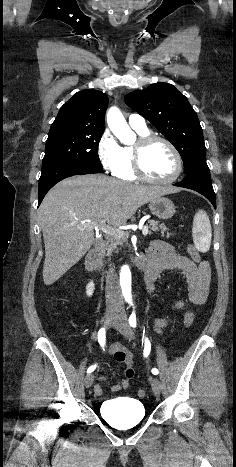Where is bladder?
<instances>
[{
  "instance_id": "obj_1",
  "label": "bladder",
  "mask_w": 236,
  "mask_h": 467,
  "mask_svg": "<svg viewBox=\"0 0 236 467\" xmlns=\"http://www.w3.org/2000/svg\"><path fill=\"white\" fill-rule=\"evenodd\" d=\"M99 411L110 425L116 428H129L143 421L145 408L141 401L128 397L106 400Z\"/></svg>"
}]
</instances>
